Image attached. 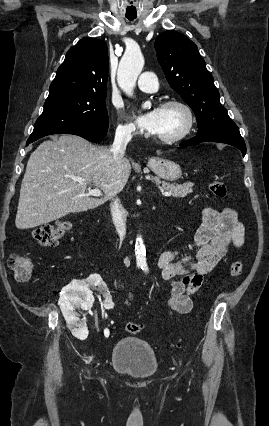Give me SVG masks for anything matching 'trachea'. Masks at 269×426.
Wrapping results in <instances>:
<instances>
[{"mask_svg":"<svg viewBox=\"0 0 269 426\" xmlns=\"http://www.w3.org/2000/svg\"><path fill=\"white\" fill-rule=\"evenodd\" d=\"M130 21L134 20L135 18H128Z\"/></svg>","mask_w":269,"mask_h":426,"instance_id":"3493384b","label":"trachea"}]
</instances>
